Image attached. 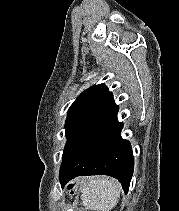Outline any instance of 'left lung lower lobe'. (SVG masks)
<instances>
[{
    "mask_svg": "<svg viewBox=\"0 0 179 211\" xmlns=\"http://www.w3.org/2000/svg\"><path fill=\"white\" fill-rule=\"evenodd\" d=\"M119 107L113 102L92 125L79 149L60 172L62 188L77 176L104 174L121 182L128 192L134 169L131 145L120 137Z\"/></svg>",
    "mask_w": 179,
    "mask_h": 211,
    "instance_id": "left-lung-lower-lobe-1",
    "label": "left lung lower lobe"
}]
</instances>
